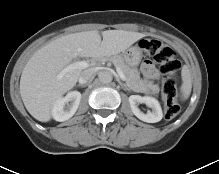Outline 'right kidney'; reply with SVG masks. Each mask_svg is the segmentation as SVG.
<instances>
[{"instance_id":"1","label":"right kidney","mask_w":219,"mask_h":174,"mask_svg":"<svg viewBox=\"0 0 219 174\" xmlns=\"http://www.w3.org/2000/svg\"><path fill=\"white\" fill-rule=\"evenodd\" d=\"M81 101V93L71 91L65 97L56 101L52 108V117L56 121L69 120L77 111Z\"/></svg>"}]
</instances>
